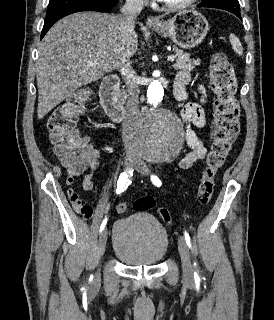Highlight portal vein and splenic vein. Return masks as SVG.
<instances>
[{"instance_id": "1", "label": "portal vein and splenic vein", "mask_w": 274, "mask_h": 320, "mask_svg": "<svg viewBox=\"0 0 274 320\" xmlns=\"http://www.w3.org/2000/svg\"><path fill=\"white\" fill-rule=\"evenodd\" d=\"M175 56H168L169 62H173ZM89 66H96V62H88Z\"/></svg>"}]
</instances>
